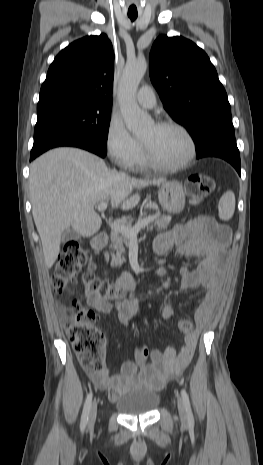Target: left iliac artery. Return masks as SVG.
<instances>
[{
  "instance_id": "1",
  "label": "left iliac artery",
  "mask_w": 263,
  "mask_h": 465,
  "mask_svg": "<svg viewBox=\"0 0 263 465\" xmlns=\"http://www.w3.org/2000/svg\"><path fill=\"white\" fill-rule=\"evenodd\" d=\"M181 395H182V400H183V403H184L188 423L190 425H193L194 424V418H193V414H192V410H191L189 396H188L185 389L181 390Z\"/></svg>"
}]
</instances>
